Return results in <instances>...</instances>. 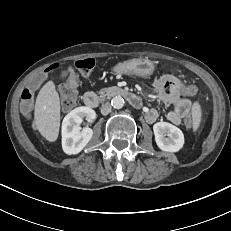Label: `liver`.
Segmentation results:
<instances>
[{
  "instance_id": "obj_1",
  "label": "liver",
  "mask_w": 231,
  "mask_h": 231,
  "mask_svg": "<svg viewBox=\"0 0 231 231\" xmlns=\"http://www.w3.org/2000/svg\"><path fill=\"white\" fill-rule=\"evenodd\" d=\"M37 130L49 142H55L60 129V98L53 81L39 91L34 109Z\"/></svg>"
}]
</instances>
